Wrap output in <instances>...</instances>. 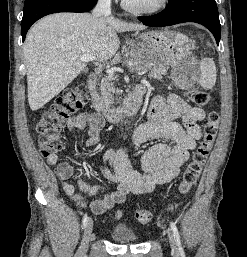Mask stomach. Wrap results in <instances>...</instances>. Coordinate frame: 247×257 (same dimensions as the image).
Returning a JSON list of instances; mask_svg holds the SVG:
<instances>
[{"label": "stomach", "instance_id": "1", "mask_svg": "<svg viewBox=\"0 0 247 257\" xmlns=\"http://www.w3.org/2000/svg\"><path fill=\"white\" fill-rule=\"evenodd\" d=\"M135 46L138 58L144 64L151 62L176 66L190 55L187 37L173 31H148L138 35Z\"/></svg>", "mask_w": 247, "mask_h": 257}]
</instances>
